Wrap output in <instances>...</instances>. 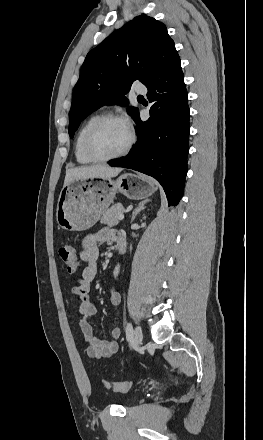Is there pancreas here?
<instances>
[{
  "label": "pancreas",
  "instance_id": "pancreas-1",
  "mask_svg": "<svg viewBox=\"0 0 263 440\" xmlns=\"http://www.w3.org/2000/svg\"><path fill=\"white\" fill-rule=\"evenodd\" d=\"M123 211H124V208H123L122 204L117 203L104 212L103 216L101 217L100 222L102 224H106L107 226H110V227L115 226L120 221L117 217L118 214Z\"/></svg>",
  "mask_w": 263,
  "mask_h": 440
}]
</instances>
